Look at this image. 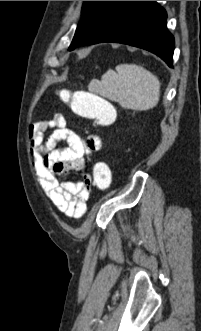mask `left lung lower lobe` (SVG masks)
Listing matches in <instances>:
<instances>
[{
	"mask_svg": "<svg viewBox=\"0 0 201 331\" xmlns=\"http://www.w3.org/2000/svg\"><path fill=\"white\" fill-rule=\"evenodd\" d=\"M166 11L156 1H120L80 45L102 42L148 50L173 67L174 37Z\"/></svg>",
	"mask_w": 201,
	"mask_h": 331,
	"instance_id": "0a47b994",
	"label": "left lung lower lobe"
}]
</instances>
